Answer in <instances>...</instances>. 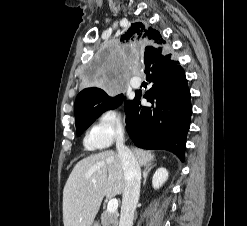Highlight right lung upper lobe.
Here are the masks:
<instances>
[{
	"label": "right lung upper lobe",
	"instance_id": "obj_1",
	"mask_svg": "<svg viewBox=\"0 0 247 226\" xmlns=\"http://www.w3.org/2000/svg\"><path fill=\"white\" fill-rule=\"evenodd\" d=\"M120 41L123 44H140L141 46L145 47V55L148 50L166 44L165 40L158 30L149 27L146 23L142 22L132 23L125 31V33L121 36ZM101 92L102 90L96 87L83 89L78 94L74 104L75 118L82 113L81 108L83 104L96 95L100 94Z\"/></svg>",
	"mask_w": 247,
	"mask_h": 226
}]
</instances>
